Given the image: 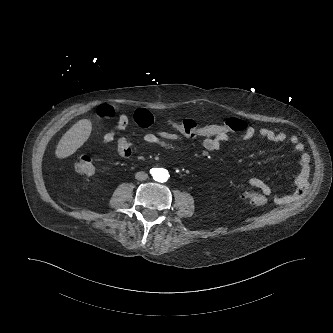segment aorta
I'll list each match as a JSON object with an SVG mask.
<instances>
[{
  "mask_svg": "<svg viewBox=\"0 0 333 333\" xmlns=\"http://www.w3.org/2000/svg\"><path fill=\"white\" fill-rule=\"evenodd\" d=\"M167 173L163 170H159L156 172V179L159 181V182H164L167 180Z\"/></svg>",
  "mask_w": 333,
  "mask_h": 333,
  "instance_id": "762f6f07",
  "label": "aorta"
}]
</instances>
